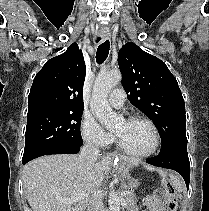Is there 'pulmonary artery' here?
<instances>
[{
    "label": "pulmonary artery",
    "instance_id": "obj_1",
    "mask_svg": "<svg viewBox=\"0 0 209 211\" xmlns=\"http://www.w3.org/2000/svg\"><path fill=\"white\" fill-rule=\"evenodd\" d=\"M108 101L110 105L113 106L114 108H121L125 101V93L123 89L121 88L114 89L110 93Z\"/></svg>",
    "mask_w": 209,
    "mask_h": 211
}]
</instances>
